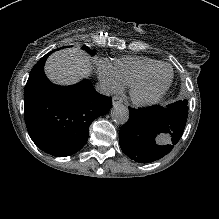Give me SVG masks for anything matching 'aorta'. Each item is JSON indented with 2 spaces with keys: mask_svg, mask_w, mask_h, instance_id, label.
I'll return each instance as SVG.
<instances>
[{
  "mask_svg": "<svg viewBox=\"0 0 219 219\" xmlns=\"http://www.w3.org/2000/svg\"><path fill=\"white\" fill-rule=\"evenodd\" d=\"M128 108L121 104H115L111 109V119L117 124H125L129 120Z\"/></svg>",
  "mask_w": 219,
  "mask_h": 219,
  "instance_id": "obj_1",
  "label": "aorta"
}]
</instances>
